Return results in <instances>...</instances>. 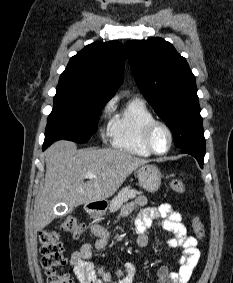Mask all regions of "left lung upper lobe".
<instances>
[{"instance_id": "obj_1", "label": "left lung upper lobe", "mask_w": 233, "mask_h": 283, "mask_svg": "<svg viewBox=\"0 0 233 283\" xmlns=\"http://www.w3.org/2000/svg\"><path fill=\"white\" fill-rule=\"evenodd\" d=\"M125 51L140 91L172 130L175 145L205 147L195 76L186 59L159 37L127 41Z\"/></svg>"}]
</instances>
